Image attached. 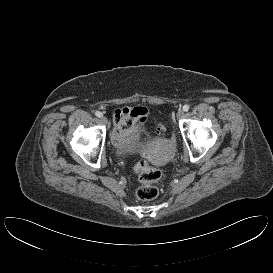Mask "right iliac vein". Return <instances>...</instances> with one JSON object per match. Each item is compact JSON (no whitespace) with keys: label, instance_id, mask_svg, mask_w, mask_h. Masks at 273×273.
<instances>
[{"label":"right iliac vein","instance_id":"63e3f726","mask_svg":"<svg viewBox=\"0 0 273 273\" xmlns=\"http://www.w3.org/2000/svg\"><path fill=\"white\" fill-rule=\"evenodd\" d=\"M101 121H102V123L105 124V125L108 124V120H107V118H106L105 116H102V117H101Z\"/></svg>","mask_w":273,"mask_h":273}]
</instances>
